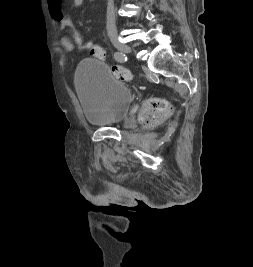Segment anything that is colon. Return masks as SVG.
Returning <instances> with one entry per match:
<instances>
[{
    "instance_id": "obj_1",
    "label": "colon",
    "mask_w": 253,
    "mask_h": 267,
    "mask_svg": "<svg viewBox=\"0 0 253 267\" xmlns=\"http://www.w3.org/2000/svg\"><path fill=\"white\" fill-rule=\"evenodd\" d=\"M72 42L74 49L78 51H89V53L98 60L105 59V51L102 47L91 42L85 41L79 32L72 35ZM113 73L121 80H132V73L124 67L114 66ZM168 112V105L165 101L159 99H152L146 104L144 112V121L147 126L154 125L160 118Z\"/></svg>"
}]
</instances>
